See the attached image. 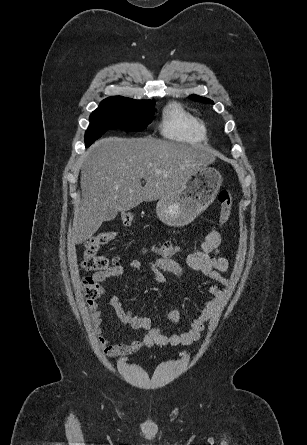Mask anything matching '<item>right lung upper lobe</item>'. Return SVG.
Instances as JSON below:
<instances>
[{
  "label": "right lung upper lobe",
  "mask_w": 307,
  "mask_h": 445,
  "mask_svg": "<svg viewBox=\"0 0 307 445\" xmlns=\"http://www.w3.org/2000/svg\"><path fill=\"white\" fill-rule=\"evenodd\" d=\"M117 98H125V97H121V96H116ZM129 99V98H128ZM137 101H141V102H153L151 100H137Z\"/></svg>",
  "instance_id": "1"
}]
</instances>
